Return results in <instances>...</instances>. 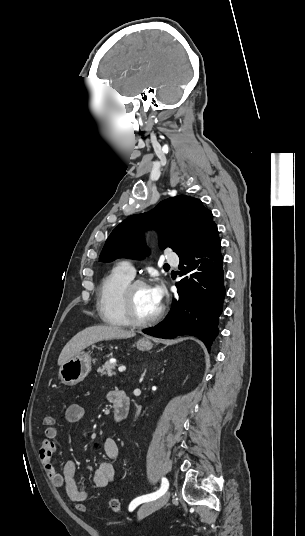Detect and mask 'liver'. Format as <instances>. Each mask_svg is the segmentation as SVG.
<instances>
[{
    "mask_svg": "<svg viewBox=\"0 0 305 536\" xmlns=\"http://www.w3.org/2000/svg\"><path fill=\"white\" fill-rule=\"evenodd\" d=\"M136 334L127 332L123 328L118 326H92V328H85L83 332H78L66 346H64L59 358L58 366L65 364L67 360L76 356L81 350H85L88 346L96 344V342H102V340H126V338H134Z\"/></svg>",
    "mask_w": 305,
    "mask_h": 536,
    "instance_id": "obj_1",
    "label": "liver"
}]
</instances>
